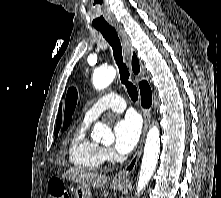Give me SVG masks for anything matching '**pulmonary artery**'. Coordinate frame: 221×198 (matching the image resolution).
Here are the masks:
<instances>
[{"label":"pulmonary artery","instance_id":"e3ab8cb5","mask_svg":"<svg viewBox=\"0 0 221 198\" xmlns=\"http://www.w3.org/2000/svg\"><path fill=\"white\" fill-rule=\"evenodd\" d=\"M126 107L124 99L115 92H110L99 98L85 113L84 121L96 120L104 111L122 112Z\"/></svg>","mask_w":221,"mask_h":198}]
</instances>
